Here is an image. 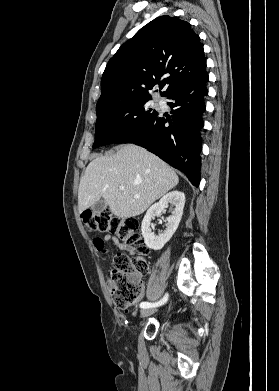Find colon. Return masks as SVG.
<instances>
[{
	"label": "colon",
	"mask_w": 279,
	"mask_h": 391,
	"mask_svg": "<svg viewBox=\"0 0 279 391\" xmlns=\"http://www.w3.org/2000/svg\"><path fill=\"white\" fill-rule=\"evenodd\" d=\"M82 220L91 233L106 232L114 240L137 247L141 254L148 252L143 244L140 224L136 218L114 216L109 211H87L82 214ZM94 245L99 251H106L103 239L96 237ZM147 270L148 263L142 257L131 259L123 253H118L114 257L113 268L109 275V290L116 306L128 310L143 298L144 288L140 277Z\"/></svg>",
	"instance_id": "5ec220e1"
}]
</instances>
